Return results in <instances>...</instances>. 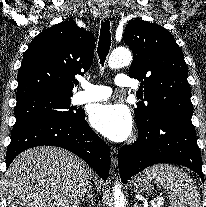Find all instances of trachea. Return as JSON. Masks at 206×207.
<instances>
[{"mask_svg":"<svg viewBox=\"0 0 206 207\" xmlns=\"http://www.w3.org/2000/svg\"><path fill=\"white\" fill-rule=\"evenodd\" d=\"M110 46H111L110 22L109 20H106L101 23L100 37H99L98 50H97L100 63L102 65L104 64L106 57L109 53Z\"/></svg>","mask_w":206,"mask_h":207,"instance_id":"obj_1","label":"trachea"}]
</instances>
